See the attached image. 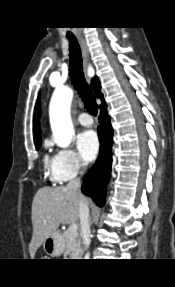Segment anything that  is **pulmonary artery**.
Here are the masks:
<instances>
[{
    "label": "pulmonary artery",
    "mask_w": 175,
    "mask_h": 287,
    "mask_svg": "<svg viewBox=\"0 0 175 287\" xmlns=\"http://www.w3.org/2000/svg\"><path fill=\"white\" fill-rule=\"evenodd\" d=\"M77 120L83 126H91L93 124L92 117L87 113L80 114Z\"/></svg>",
    "instance_id": "pulmonary-artery-1"
}]
</instances>
